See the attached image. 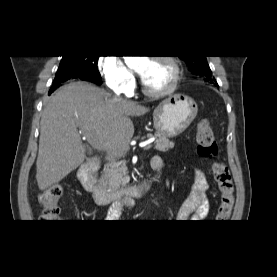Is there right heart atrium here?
<instances>
[{"mask_svg": "<svg viewBox=\"0 0 277 277\" xmlns=\"http://www.w3.org/2000/svg\"><path fill=\"white\" fill-rule=\"evenodd\" d=\"M98 67L105 84L112 90L125 92L133 87L134 75L117 54L100 57Z\"/></svg>", "mask_w": 277, "mask_h": 277, "instance_id": "obj_1", "label": "right heart atrium"}]
</instances>
